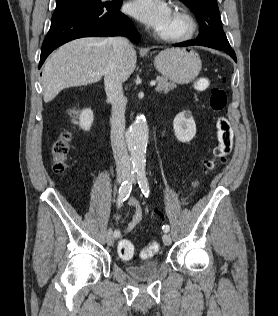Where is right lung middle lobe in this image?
Segmentation results:
<instances>
[{"label": "right lung middle lobe", "mask_w": 278, "mask_h": 316, "mask_svg": "<svg viewBox=\"0 0 278 316\" xmlns=\"http://www.w3.org/2000/svg\"><path fill=\"white\" fill-rule=\"evenodd\" d=\"M100 3V0H57L55 11H62L78 6Z\"/></svg>", "instance_id": "dd1d6c3e"}]
</instances>
